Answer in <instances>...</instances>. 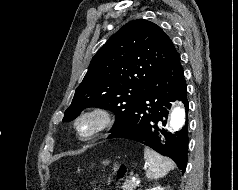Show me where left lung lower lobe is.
I'll list each match as a JSON object with an SVG mask.
<instances>
[{
    "mask_svg": "<svg viewBox=\"0 0 238 190\" xmlns=\"http://www.w3.org/2000/svg\"><path fill=\"white\" fill-rule=\"evenodd\" d=\"M186 93L184 72L180 55L177 54L153 76L129 115L110 131L108 138L140 142L173 159L184 173L187 165L188 122L174 134L161 128V125H166L170 102L177 99L182 101L188 113Z\"/></svg>",
    "mask_w": 238,
    "mask_h": 190,
    "instance_id": "0a47b994",
    "label": "left lung lower lobe"
}]
</instances>
